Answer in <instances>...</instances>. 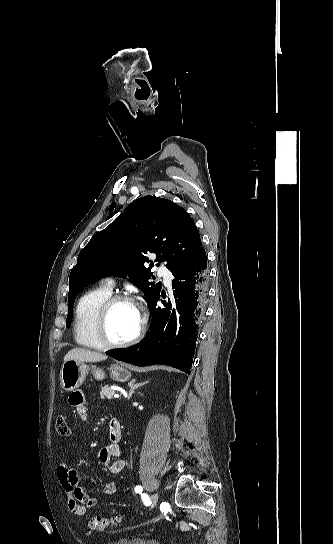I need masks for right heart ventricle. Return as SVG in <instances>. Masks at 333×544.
Returning <instances> with one entry per match:
<instances>
[{
  "label": "right heart ventricle",
  "mask_w": 333,
  "mask_h": 544,
  "mask_svg": "<svg viewBox=\"0 0 333 544\" xmlns=\"http://www.w3.org/2000/svg\"><path fill=\"white\" fill-rule=\"evenodd\" d=\"M112 290L105 285L85 292L77 302L73 333L76 343L91 349H102L95 334V319L102 303L111 296Z\"/></svg>",
  "instance_id": "obj_1"
}]
</instances>
